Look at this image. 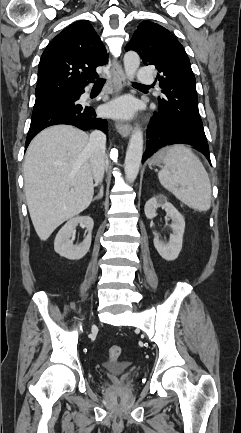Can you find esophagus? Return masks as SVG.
<instances>
[{
  "instance_id": "34e87169",
  "label": "esophagus",
  "mask_w": 241,
  "mask_h": 433,
  "mask_svg": "<svg viewBox=\"0 0 241 433\" xmlns=\"http://www.w3.org/2000/svg\"><path fill=\"white\" fill-rule=\"evenodd\" d=\"M111 74L115 84L116 92H121L124 90L126 86L125 74L122 65L116 59L112 61ZM116 128L122 137H128L132 132V126L130 123L118 121Z\"/></svg>"
}]
</instances>
